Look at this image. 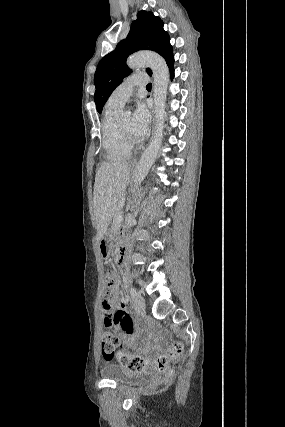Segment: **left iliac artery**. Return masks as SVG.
Returning <instances> with one entry per match:
<instances>
[{
    "instance_id": "obj_1",
    "label": "left iliac artery",
    "mask_w": 285,
    "mask_h": 427,
    "mask_svg": "<svg viewBox=\"0 0 285 427\" xmlns=\"http://www.w3.org/2000/svg\"><path fill=\"white\" fill-rule=\"evenodd\" d=\"M129 292H130L131 298L134 299L136 296V290L134 288H130Z\"/></svg>"
}]
</instances>
